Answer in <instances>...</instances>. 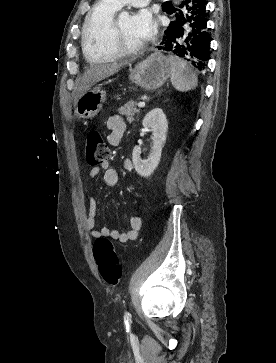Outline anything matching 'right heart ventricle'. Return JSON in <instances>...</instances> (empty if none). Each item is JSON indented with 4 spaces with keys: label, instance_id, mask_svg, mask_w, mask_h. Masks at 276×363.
<instances>
[{
    "label": "right heart ventricle",
    "instance_id": "obj_1",
    "mask_svg": "<svg viewBox=\"0 0 276 363\" xmlns=\"http://www.w3.org/2000/svg\"><path fill=\"white\" fill-rule=\"evenodd\" d=\"M119 5L112 0H100L86 17L83 26L82 48L91 63H104L118 58L110 46V27Z\"/></svg>",
    "mask_w": 276,
    "mask_h": 363
}]
</instances>
